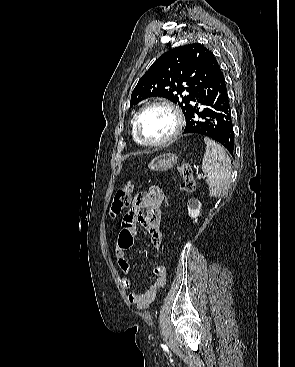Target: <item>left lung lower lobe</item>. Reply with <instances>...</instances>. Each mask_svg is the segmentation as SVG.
Listing matches in <instances>:
<instances>
[{"label": "left lung lower lobe", "mask_w": 295, "mask_h": 367, "mask_svg": "<svg viewBox=\"0 0 295 367\" xmlns=\"http://www.w3.org/2000/svg\"><path fill=\"white\" fill-rule=\"evenodd\" d=\"M207 89V91L205 90ZM196 105L187 112L184 133L208 136L221 143L233 156L234 133L227 88L220 66L217 65L205 88L198 94Z\"/></svg>", "instance_id": "1"}]
</instances>
